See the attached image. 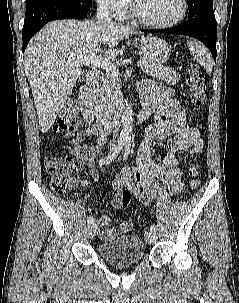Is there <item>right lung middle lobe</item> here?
Instances as JSON below:
<instances>
[{"label":"right lung middle lobe","instance_id":"right-lung-middle-lobe-1","mask_svg":"<svg viewBox=\"0 0 239 303\" xmlns=\"http://www.w3.org/2000/svg\"><path fill=\"white\" fill-rule=\"evenodd\" d=\"M32 1H34V0H27V3H26V4H28V3L32 2Z\"/></svg>","mask_w":239,"mask_h":303}]
</instances>
